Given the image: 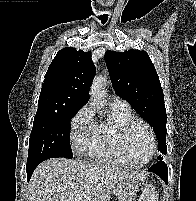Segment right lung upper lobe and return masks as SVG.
Wrapping results in <instances>:
<instances>
[{"label": "right lung upper lobe", "instance_id": "obj_1", "mask_svg": "<svg viewBox=\"0 0 196 201\" xmlns=\"http://www.w3.org/2000/svg\"><path fill=\"white\" fill-rule=\"evenodd\" d=\"M94 75L90 51H77L72 47L61 49L44 76L38 110L81 108L88 101Z\"/></svg>", "mask_w": 196, "mask_h": 201}]
</instances>
